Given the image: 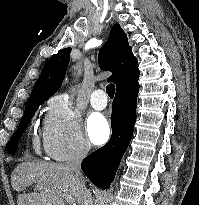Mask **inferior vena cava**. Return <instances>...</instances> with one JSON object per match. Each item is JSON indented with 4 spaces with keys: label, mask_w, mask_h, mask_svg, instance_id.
Returning a JSON list of instances; mask_svg holds the SVG:
<instances>
[{
    "label": "inferior vena cava",
    "mask_w": 199,
    "mask_h": 205,
    "mask_svg": "<svg viewBox=\"0 0 199 205\" xmlns=\"http://www.w3.org/2000/svg\"><path fill=\"white\" fill-rule=\"evenodd\" d=\"M88 151H89L88 145L85 142H81L78 145V147L74 150V152L71 154L66 164L67 168L74 173L77 182L80 185L83 194L82 205H93L91 192L86 188L84 178L81 172V162L87 156Z\"/></svg>",
    "instance_id": "obj_1"
}]
</instances>
